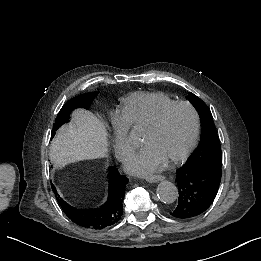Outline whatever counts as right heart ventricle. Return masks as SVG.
<instances>
[{"mask_svg": "<svg viewBox=\"0 0 261 261\" xmlns=\"http://www.w3.org/2000/svg\"><path fill=\"white\" fill-rule=\"evenodd\" d=\"M171 101H174V99L162 91L135 92L121 99L120 114L127 120L139 121ZM128 150H130V147Z\"/></svg>", "mask_w": 261, "mask_h": 261, "instance_id": "1", "label": "right heart ventricle"}]
</instances>
